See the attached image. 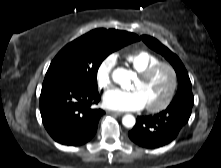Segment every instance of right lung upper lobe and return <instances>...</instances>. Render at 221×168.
I'll return each instance as SVG.
<instances>
[{
	"mask_svg": "<svg viewBox=\"0 0 221 168\" xmlns=\"http://www.w3.org/2000/svg\"><path fill=\"white\" fill-rule=\"evenodd\" d=\"M110 30H113V29H110ZM114 31H119V30H114ZM128 33L133 39H135V41H138L139 40V37L133 33H129V32H126Z\"/></svg>",
	"mask_w": 221,
	"mask_h": 168,
	"instance_id": "cb5924a9",
	"label": "right lung upper lobe"
}]
</instances>
